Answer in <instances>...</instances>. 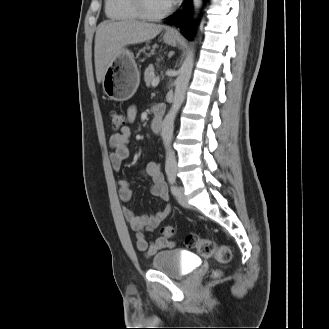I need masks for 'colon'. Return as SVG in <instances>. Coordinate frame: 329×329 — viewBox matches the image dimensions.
Returning a JSON list of instances; mask_svg holds the SVG:
<instances>
[{
  "mask_svg": "<svg viewBox=\"0 0 329 329\" xmlns=\"http://www.w3.org/2000/svg\"><path fill=\"white\" fill-rule=\"evenodd\" d=\"M111 126L114 130H121L126 126V116L118 110L110 112ZM173 226H164L161 229V234L166 239H171L175 235ZM186 245L195 250L200 256L205 258H213L220 263H228L231 260V251L224 245H218L210 239L199 236L197 234H189L186 238ZM219 276V272L215 273Z\"/></svg>",
  "mask_w": 329,
  "mask_h": 329,
  "instance_id": "obj_1",
  "label": "colon"
}]
</instances>
